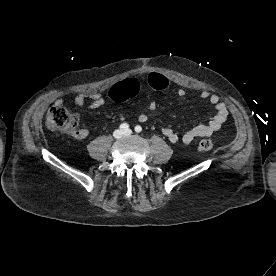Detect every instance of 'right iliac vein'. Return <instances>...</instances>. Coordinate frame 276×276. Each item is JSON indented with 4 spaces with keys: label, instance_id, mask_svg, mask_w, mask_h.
<instances>
[{
    "label": "right iliac vein",
    "instance_id": "obj_1",
    "mask_svg": "<svg viewBox=\"0 0 276 276\" xmlns=\"http://www.w3.org/2000/svg\"><path fill=\"white\" fill-rule=\"evenodd\" d=\"M123 134H124V132L122 130L118 129V130L114 131L113 136L115 138H121L123 136Z\"/></svg>",
    "mask_w": 276,
    "mask_h": 276
}]
</instances>
